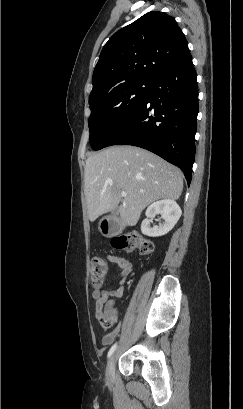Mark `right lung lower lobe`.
Instances as JSON below:
<instances>
[{"label":"right lung lower lobe","mask_w":243,"mask_h":409,"mask_svg":"<svg viewBox=\"0 0 243 409\" xmlns=\"http://www.w3.org/2000/svg\"><path fill=\"white\" fill-rule=\"evenodd\" d=\"M197 75L187 49L152 84L143 104L108 142L147 149L184 172L188 185L195 158Z\"/></svg>","instance_id":"obj_1"}]
</instances>
